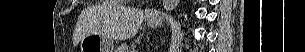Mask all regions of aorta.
I'll use <instances>...</instances> for the list:
<instances>
[{
	"label": "aorta",
	"instance_id": "obj_1",
	"mask_svg": "<svg viewBox=\"0 0 305 52\" xmlns=\"http://www.w3.org/2000/svg\"><path fill=\"white\" fill-rule=\"evenodd\" d=\"M179 4V0H163V7L166 11H173Z\"/></svg>",
	"mask_w": 305,
	"mask_h": 52
}]
</instances>
